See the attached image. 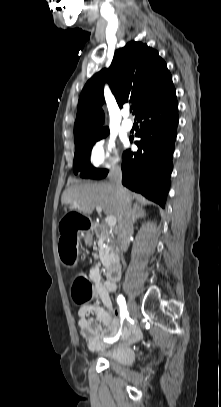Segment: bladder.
I'll list each match as a JSON object with an SVG mask.
<instances>
[{
  "label": "bladder",
  "instance_id": "obj_1",
  "mask_svg": "<svg viewBox=\"0 0 221 407\" xmlns=\"http://www.w3.org/2000/svg\"><path fill=\"white\" fill-rule=\"evenodd\" d=\"M106 358L114 363L120 365H129L135 358V353L132 348L127 346H120L107 352Z\"/></svg>",
  "mask_w": 221,
  "mask_h": 407
}]
</instances>
